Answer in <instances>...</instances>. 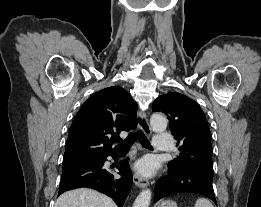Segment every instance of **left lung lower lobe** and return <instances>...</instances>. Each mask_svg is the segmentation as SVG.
<instances>
[{
	"mask_svg": "<svg viewBox=\"0 0 261 207\" xmlns=\"http://www.w3.org/2000/svg\"><path fill=\"white\" fill-rule=\"evenodd\" d=\"M178 193L200 194L217 205L211 179L186 170L168 169V175L161 177L155 185L154 202Z\"/></svg>",
	"mask_w": 261,
	"mask_h": 207,
	"instance_id": "1",
	"label": "left lung lower lobe"
}]
</instances>
